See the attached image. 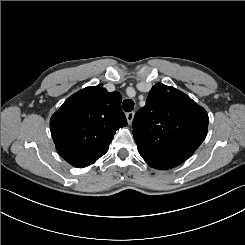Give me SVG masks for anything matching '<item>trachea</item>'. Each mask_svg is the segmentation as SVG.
Segmentation results:
<instances>
[{
	"label": "trachea",
	"instance_id": "obj_1",
	"mask_svg": "<svg viewBox=\"0 0 245 245\" xmlns=\"http://www.w3.org/2000/svg\"><path fill=\"white\" fill-rule=\"evenodd\" d=\"M122 107H123V110L125 112H131L133 110V108H134L133 100H131V99L124 100Z\"/></svg>",
	"mask_w": 245,
	"mask_h": 245
}]
</instances>
